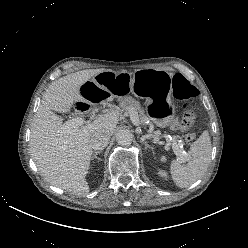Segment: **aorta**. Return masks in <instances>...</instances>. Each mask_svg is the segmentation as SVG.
<instances>
[{
	"label": "aorta",
	"mask_w": 248,
	"mask_h": 248,
	"mask_svg": "<svg viewBox=\"0 0 248 248\" xmlns=\"http://www.w3.org/2000/svg\"><path fill=\"white\" fill-rule=\"evenodd\" d=\"M133 140V134L128 129H120L116 133V141L119 145H129Z\"/></svg>",
	"instance_id": "aorta-1"
}]
</instances>
